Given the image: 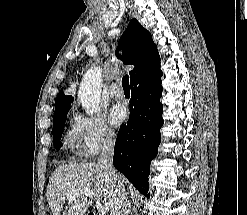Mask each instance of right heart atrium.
I'll return each mask as SVG.
<instances>
[{
	"label": "right heart atrium",
	"instance_id": "obj_1",
	"mask_svg": "<svg viewBox=\"0 0 247 215\" xmlns=\"http://www.w3.org/2000/svg\"><path fill=\"white\" fill-rule=\"evenodd\" d=\"M71 135L84 157H93L101 150L111 148L116 141L115 132L101 115L88 116L76 113L72 119Z\"/></svg>",
	"mask_w": 247,
	"mask_h": 215
}]
</instances>
